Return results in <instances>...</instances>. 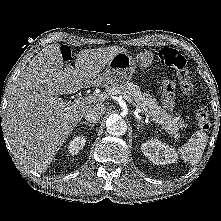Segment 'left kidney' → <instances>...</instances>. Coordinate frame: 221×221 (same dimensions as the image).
<instances>
[{
    "label": "left kidney",
    "instance_id": "1",
    "mask_svg": "<svg viewBox=\"0 0 221 221\" xmlns=\"http://www.w3.org/2000/svg\"><path fill=\"white\" fill-rule=\"evenodd\" d=\"M143 154L156 165L175 163L178 159L174 148L158 139H151L141 145Z\"/></svg>",
    "mask_w": 221,
    "mask_h": 221
}]
</instances>
